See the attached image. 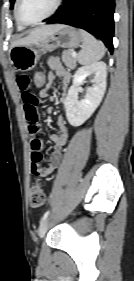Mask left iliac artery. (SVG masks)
I'll list each match as a JSON object with an SVG mask.
<instances>
[{"label": "left iliac artery", "mask_w": 134, "mask_h": 281, "mask_svg": "<svg viewBox=\"0 0 134 281\" xmlns=\"http://www.w3.org/2000/svg\"><path fill=\"white\" fill-rule=\"evenodd\" d=\"M49 215V211H46L41 219V222H43Z\"/></svg>", "instance_id": "44dca946"}]
</instances>
